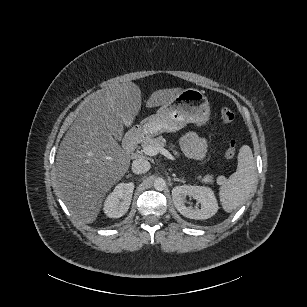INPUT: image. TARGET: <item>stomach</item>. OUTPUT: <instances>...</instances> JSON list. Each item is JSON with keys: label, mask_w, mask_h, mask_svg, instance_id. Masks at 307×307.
<instances>
[{"label": "stomach", "mask_w": 307, "mask_h": 307, "mask_svg": "<svg viewBox=\"0 0 307 307\" xmlns=\"http://www.w3.org/2000/svg\"><path fill=\"white\" fill-rule=\"evenodd\" d=\"M210 107L203 93L194 88L181 90L169 103L162 104L155 114L143 119L141 130L150 136L176 132L188 123H204Z\"/></svg>", "instance_id": "0dacf381"}]
</instances>
